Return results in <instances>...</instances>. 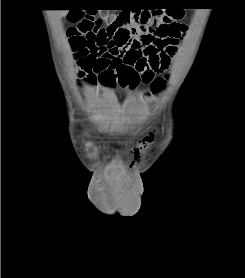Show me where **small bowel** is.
<instances>
[{"mask_svg": "<svg viewBox=\"0 0 245 278\" xmlns=\"http://www.w3.org/2000/svg\"><path fill=\"white\" fill-rule=\"evenodd\" d=\"M102 16L107 22L116 18L114 14L107 12H104ZM176 25L182 34L187 33L188 27L185 24L176 23ZM87 36L88 33L85 31L79 33V38L84 42H86ZM95 46L99 50H105L104 57L93 59L80 51L77 56L78 66L88 84L100 85L109 89L120 85L121 79L137 77L146 81L145 76L152 77L157 73L164 72L169 68L170 59L175 52L165 51L161 54H150L148 47H140L132 51L129 48H119L109 44L105 46L96 44ZM87 67H89L88 70Z\"/></svg>", "mask_w": 245, "mask_h": 278, "instance_id": "1", "label": "small bowel"}]
</instances>
